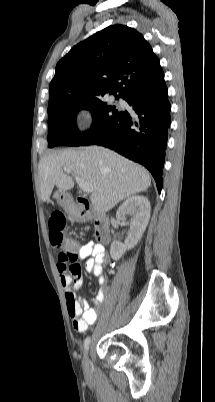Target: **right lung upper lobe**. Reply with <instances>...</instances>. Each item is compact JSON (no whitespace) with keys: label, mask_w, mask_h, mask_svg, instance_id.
Instances as JSON below:
<instances>
[{"label":"right lung upper lobe","mask_w":215,"mask_h":402,"mask_svg":"<svg viewBox=\"0 0 215 402\" xmlns=\"http://www.w3.org/2000/svg\"><path fill=\"white\" fill-rule=\"evenodd\" d=\"M165 83L158 57L142 34L113 25L74 46L56 65L49 102L86 98L111 91L123 99Z\"/></svg>","instance_id":"right-lung-upper-lobe-1"}]
</instances>
